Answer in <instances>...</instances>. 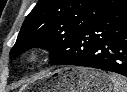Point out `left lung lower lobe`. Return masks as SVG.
<instances>
[{
    "label": "left lung lower lobe",
    "instance_id": "obj_1",
    "mask_svg": "<svg viewBox=\"0 0 127 92\" xmlns=\"http://www.w3.org/2000/svg\"><path fill=\"white\" fill-rule=\"evenodd\" d=\"M51 65H76L127 76V0L79 32Z\"/></svg>",
    "mask_w": 127,
    "mask_h": 92
}]
</instances>
